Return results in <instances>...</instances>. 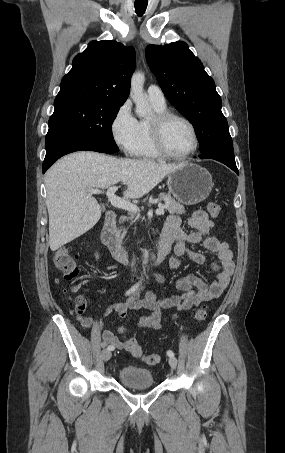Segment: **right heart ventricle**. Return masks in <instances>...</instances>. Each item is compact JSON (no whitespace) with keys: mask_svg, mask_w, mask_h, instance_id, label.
<instances>
[{"mask_svg":"<svg viewBox=\"0 0 285 453\" xmlns=\"http://www.w3.org/2000/svg\"><path fill=\"white\" fill-rule=\"evenodd\" d=\"M151 104L156 113L166 111V106H158L153 103ZM133 155L139 158L147 159L161 157L152 142L149 120L141 119L138 121L137 137Z\"/></svg>","mask_w":285,"mask_h":453,"instance_id":"1","label":"right heart ventricle"}]
</instances>
